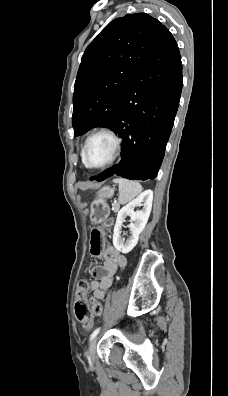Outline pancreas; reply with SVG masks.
<instances>
[{"label": "pancreas", "instance_id": "cf45deb5", "mask_svg": "<svg viewBox=\"0 0 228 396\" xmlns=\"http://www.w3.org/2000/svg\"><path fill=\"white\" fill-rule=\"evenodd\" d=\"M119 208H120V205L118 203H114L112 205V211L115 213L118 212Z\"/></svg>", "mask_w": 228, "mask_h": 396}]
</instances>
